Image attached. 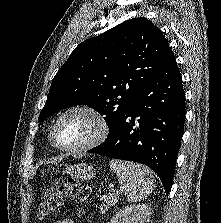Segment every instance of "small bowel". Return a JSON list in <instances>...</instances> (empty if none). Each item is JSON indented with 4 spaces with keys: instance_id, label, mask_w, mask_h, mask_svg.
<instances>
[{
    "instance_id": "c3829d8e",
    "label": "small bowel",
    "mask_w": 221,
    "mask_h": 223,
    "mask_svg": "<svg viewBox=\"0 0 221 223\" xmlns=\"http://www.w3.org/2000/svg\"><path fill=\"white\" fill-rule=\"evenodd\" d=\"M55 223H74V220L70 217H65L57 220Z\"/></svg>"
}]
</instances>
